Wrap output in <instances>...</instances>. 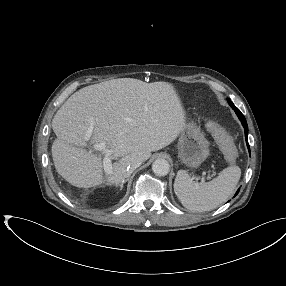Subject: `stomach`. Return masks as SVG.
I'll list each match as a JSON object with an SVG mask.
<instances>
[{
    "label": "stomach",
    "instance_id": "0dacf381",
    "mask_svg": "<svg viewBox=\"0 0 286 286\" xmlns=\"http://www.w3.org/2000/svg\"><path fill=\"white\" fill-rule=\"evenodd\" d=\"M181 161L190 168H197L209 155V143L200 128L193 122L185 123L178 141Z\"/></svg>",
    "mask_w": 286,
    "mask_h": 286
}]
</instances>
